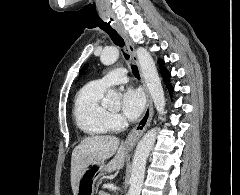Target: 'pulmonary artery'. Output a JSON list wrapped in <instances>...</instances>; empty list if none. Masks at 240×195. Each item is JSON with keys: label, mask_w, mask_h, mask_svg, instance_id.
<instances>
[{"label": "pulmonary artery", "mask_w": 240, "mask_h": 195, "mask_svg": "<svg viewBox=\"0 0 240 195\" xmlns=\"http://www.w3.org/2000/svg\"><path fill=\"white\" fill-rule=\"evenodd\" d=\"M119 71H111L110 76L105 77V78H98L97 82L98 83H103L107 88L117 84V83H123L127 81V76L124 75L127 73V70L125 69L124 66H119L118 67Z\"/></svg>", "instance_id": "1"}]
</instances>
